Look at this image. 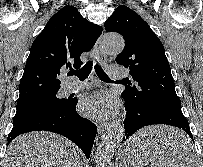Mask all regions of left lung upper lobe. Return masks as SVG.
<instances>
[{
  "label": "left lung upper lobe",
  "instance_id": "left-lung-upper-lobe-1",
  "mask_svg": "<svg viewBox=\"0 0 203 167\" xmlns=\"http://www.w3.org/2000/svg\"><path fill=\"white\" fill-rule=\"evenodd\" d=\"M107 32H117L125 40L116 62L129 68L135 85L125 86L124 100L150 111L181 105L164 47L150 26L133 10L120 5L105 22Z\"/></svg>",
  "mask_w": 203,
  "mask_h": 167
}]
</instances>
